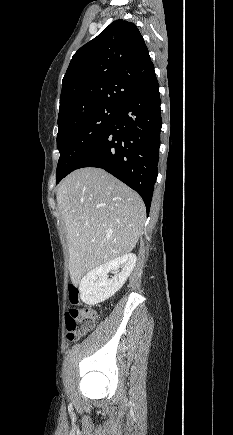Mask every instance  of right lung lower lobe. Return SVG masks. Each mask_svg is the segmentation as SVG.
I'll return each instance as SVG.
<instances>
[{"mask_svg":"<svg viewBox=\"0 0 233 435\" xmlns=\"http://www.w3.org/2000/svg\"><path fill=\"white\" fill-rule=\"evenodd\" d=\"M159 85L154 75L121 105L103 136L69 169L98 167L137 191L150 210L162 127Z\"/></svg>","mask_w":233,"mask_h":435,"instance_id":"1","label":"right lung lower lobe"}]
</instances>
